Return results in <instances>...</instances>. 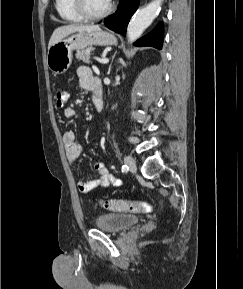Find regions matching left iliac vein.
Instances as JSON below:
<instances>
[{"instance_id": "left-iliac-vein-1", "label": "left iliac vein", "mask_w": 243, "mask_h": 289, "mask_svg": "<svg viewBox=\"0 0 243 289\" xmlns=\"http://www.w3.org/2000/svg\"><path fill=\"white\" fill-rule=\"evenodd\" d=\"M125 164L128 166L131 172H136V164L134 159L131 156H126L124 159Z\"/></svg>"}]
</instances>
